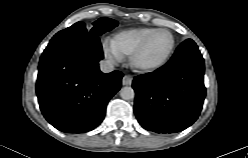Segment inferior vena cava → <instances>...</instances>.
Listing matches in <instances>:
<instances>
[{"label": "inferior vena cava", "instance_id": "obj_1", "mask_svg": "<svg viewBox=\"0 0 248 158\" xmlns=\"http://www.w3.org/2000/svg\"><path fill=\"white\" fill-rule=\"evenodd\" d=\"M100 70L103 73H110L114 70V64L108 60H102L100 62Z\"/></svg>", "mask_w": 248, "mask_h": 158}]
</instances>
